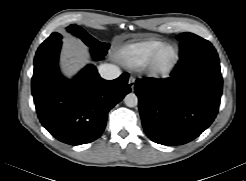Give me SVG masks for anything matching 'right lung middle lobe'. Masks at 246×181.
Masks as SVG:
<instances>
[{
	"instance_id": "right-lung-middle-lobe-1",
	"label": "right lung middle lobe",
	"mask_w": 246,
	"mask_h": 181,
	"mask_svg": "<svg viewBox=\"0 0 246 181\" xmlns=\"http://www.w3.org/2000/svg\"><path fill=\"white\" fill-rule=\"evenodd\" d=\"M67 31L73 34L76 37H79L86 45H88L91 48V53L99 56L101 58H104V56L107 54V50L110 46L108 43H101L98 40L94 39L92 36H90L84 29H82L80 26H77L75 24L70 25L67 27ZM62 36L54 32L52 33L38 48V51L41 49H44L51 44L61 40Z\"/></svg>"
}]
</instances>
